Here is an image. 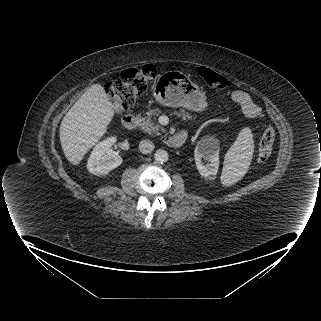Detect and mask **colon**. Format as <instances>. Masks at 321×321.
I'll return each instance as SVG.
<instances>
[{
	"label": "colon",
	"mask_w": 321,
	"mask_h": 321,
	"mask_svg": "<svg viewBox=\"0 0 321 321\" xmlns=\"http://www.w3.org/2000/svg\"><path fill=\"white\" fill-rule=\"evenodd\" d=\"M158 67L155 64H146L124 70L120 77L107 85V93L112 99L116 114L129 112L134 107L136 99L144 94L149 82L157 75ZM199 76L210 87L220 90L228 87L227 80L208 67L199 68ZM275 132L272 127L265 129L258 149V161L266 162L272 153Z\"/></svg>",
	"instance_id": "1"
}]
</instances>
